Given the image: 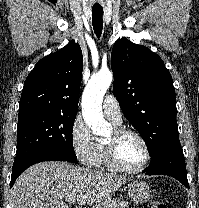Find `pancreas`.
<instances>
[{
	"label": "pancreas",
	"mask_w": 199,
	"mask_h": 208,
	"mask_svg": "<svg viewBox=\"0 0 199 208\" xmlns=\"http://www.w3.org/2000/svg\"><path fill=\"white\" fill-rule=\"evenodd\" d=\"M127 201H119L117 199H107L103 203L96 205L94 208H128Z\"/></svg>",
	"instance_id": "1"
}]
</instances>
